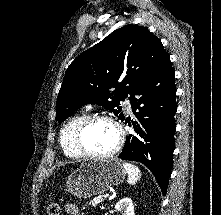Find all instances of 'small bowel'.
Returning a JSON list of instances; mask_svg holds the SVG:
<instances>
[{
    "instance_id": "small-bowel-1",
    "label": "small bowel",
    "mask_w": 221,
    "mask_h": 215,
    "mask_svg": "<svg viewBox=\"0 0 221 215\" xmlns=\"http://www.w3.org/2000/svg\"><path fill=\"white\" fill-rule=\"evenodd\" d=\"M65 211L68 215H83L78 206L73 203H68L65 205Z\"/></svg>"
}]
</instances>
